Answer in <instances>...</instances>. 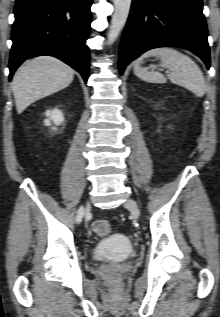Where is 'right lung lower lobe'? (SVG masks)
Instances as JSON below:
<instances>
[{
  "label": "right lung lower lobe",
  "instance_id": "right-lung-lower-lobe-1",
  "mask_svg": "<svg viewBox=\"0 0 220 317\" xmlns=\"http://www.w3.org/2000/svg\"><path fill=\"white\" fill-rule=\"evenodd\" d=\"M92 0H16L9 79L28 58L50 55L88 79Z\"/></svg>",
  "mask_w": 220,
  "mask_h": 317
}]
</instances>
